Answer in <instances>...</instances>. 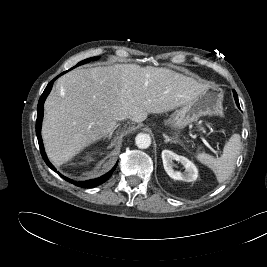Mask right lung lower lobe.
Masks as SVG:
<instances>
[{"label":"right lung lower lobe","mask_w":267,"mask_h":267,"mask_svg":"<svg viewBox=\"0 0 267 267\" xmlns=\"http://www.w3.org/2000/svg\"><path fill=\"white\" fill-rule=\"evenodd\" d=\"M62 74H60V75H62ZM59 76H57L56 78H58ZM54 80H52L47 85V87L45 88L43 94L41 95V97L39 99L38 107H37L36 134H37V138H38L39 147H40V150H41V155H42L44 161L46 162V164L53 171L56 172V169L49 162V160H48V158L46 156V153H45L44 147H43V143H42V138H41V124H42V118H43V104H44V101H45L47 95L49 94V92H50V90L52 88V85H53V81ZM116 166H117V164L108 173H106L105 175H103V176H101L99 178L93 179V180H88V181L74 182L73 180H71V179H69V178L61 175L59 172H57V174L60 175L62 178H64L66 181H68L70 183H74L76 186L83 187V188H92V187L98 186V185L104 183L106 180H108L109 177L112 175L113 171L115 170Z\"/></svg>","instance_id":"obj_1"}]
</instances>
